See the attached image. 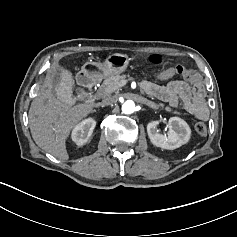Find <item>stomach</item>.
Segmentation results:
<instances>
[{
	"instance_id": "1",
	"label": "stomach",
	"mask_w": 237,
	"mask_h": 237,
	"mask_svg": "<svg viewBox=\"0 0 237 237\" xmlns=\"http://www.w3.org/2000/svg\"><path fill=\"white\" fill-rule=\"evenodd\" d=\"M130 57L123 53L109 54L102 63H94L98 71V78L104 79L111 75L123 73L129 66Z\"/></svg>"
}]
</instances>
